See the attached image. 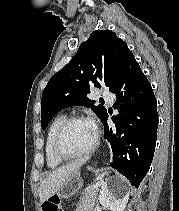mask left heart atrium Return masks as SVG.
Returning <instances> with one entry per match:
<instances>
[{"label": "left heart atrium", "mask_w": 179, "mask_h": 211, "mask_svg": "<svg viewBox=\"0 0 179 211\" xmlns=\"http://www.w3.org/2000/svg\"><path fill=\"white\" fill-rule=\"evenodd\" d=\"M89 123H90L92 129L94 130V132L97 133V124H96V122L93 119H90Z\"/></svg>", "instance_id": "39dd6f15"}]
</instances>
